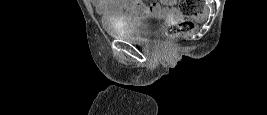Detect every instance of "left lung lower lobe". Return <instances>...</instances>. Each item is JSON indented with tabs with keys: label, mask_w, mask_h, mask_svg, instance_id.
<instances>
[{
	"label": "left lung lower lobe",
	"mask_w": 267,
	"mask_h": 115,
	"mask_svg": "<svg viewBox=\"0 0 267 115\" xmlns=\"http://www.w3.org/2000/svg\"><path fill=\"white\" fill-rule=\"evenodd\" d=\"M151 88L158 89V88H159V86H155V87H151Z\"/></svg>",
	"instance_id": "0a47b994"
}]
</instances>
